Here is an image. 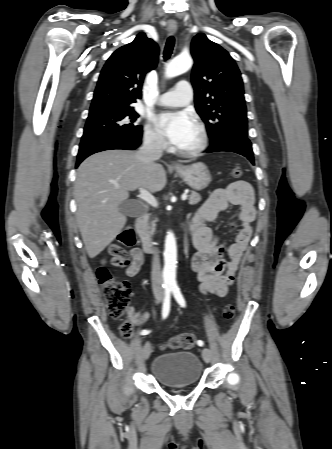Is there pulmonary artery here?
Segmentation results:
<instances>
[{"label": "pulmonary artery", "instance_id": "obj_1", "mask_svg": "<svg viewBox=\"0 0 332 449\" xmlns=\"http://www.w3.org/2000/svg\"><path fill=\"white\" fill-rule=\"evenodd\" d=\"M193 96L191 84L186 80L176 83L173 89L164 93L157 99L161 106L180 107L188 104Z\"/></svg>", "mask_w": 332, "mask_h": 449}]
</instances>
